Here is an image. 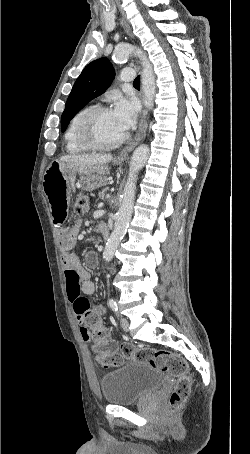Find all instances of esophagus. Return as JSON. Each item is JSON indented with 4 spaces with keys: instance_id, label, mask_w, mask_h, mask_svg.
<instances>
[{
    "instance_id": "34e87169",
    "label": "esophagus",
    "mask_w": 250,
    "mask_h": 454,
    "mask_svg": "<svg viewBox=\"0 0 250 454\" xmlns=\"http://www.w3.org/2000/svg\"><path fill=\"white\" fill-rule=\"evenodd\" d=\"M121 24L125 30V32L129 35L130 38H134L133 34L131 33V29L129 24L124 20L121 19ZM146 110L143 111L138 131L135 135L133 141L126 146L123 151L117 156V159L124 160L128 157L129 153L134 149V147L145 137L146 129H147V122H146Z\"/></svg>"
}]
</instances>
